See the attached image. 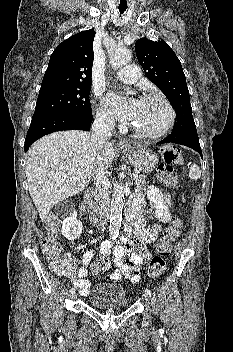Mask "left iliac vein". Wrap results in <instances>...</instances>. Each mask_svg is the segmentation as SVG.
Here are the masks:
<instances>
[{"mask_svg": "<svg viewBox=\"0 0 233 352\" xmlns=\"http://www.w3.org/2000/svg\"><path fill=\"white\" fill-rule=\"evenodd\" d=\"M142 298H143V300H144V302H145L146 304H150V297H149V295H148L147 293H144V294L142 295Z\"/></svg>", "mask_w": 233, "mask_h": 352, "instance_id": "1", "label": "left iliac vein"}]
</instances>
